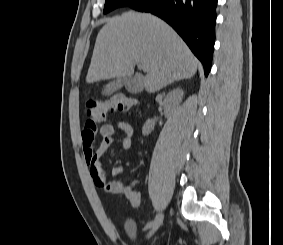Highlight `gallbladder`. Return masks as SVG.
<instances>
[{
  "instance_id": "gallbladder-1",
  "label": "gallbladder",
  "mask_w": 283,
  "mask_h": 245,
  "mask_svg": "<svg viewBox=\"0 0 283 245\" xmlns=\"http://www.w3.org/2000/svg\"><path fill=\"white\" fill-rule=\"evenodd\" d=\"M123 86H125V88L131 93H138L142 90V84L139 82L138 78L127 75L109 82L104 87L102 93L109 96L115 91L121 89Z\"/></svg>"
}]
</instances>
